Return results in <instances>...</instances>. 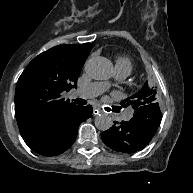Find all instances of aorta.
<instances>
[{"mask_svg": "<svg viewBox=\"0 0 193 193\" xmlns=\"http://www.w3.org/2000/svg\"><path fill=\"white\" fill-rule=\"evenodd\" d=\"M87 74L95 80H106L111 76V64L105 58H95L86 64ZM95 127L100 131L111 128L113 121L106 113L99 114L94 119Z\"/></svg>", "mask_w": 193, "mask_h": 193, "instance_id": "1", "label": "aorta"}]
</instances>
